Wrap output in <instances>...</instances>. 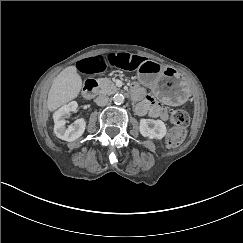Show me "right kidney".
<instances>
[{
    "mask_svg": "<svg viewBox=\"0 0 243 243\" xmlns=\"http://www.w3.org/2000/svg\"><path fill=\"white\" fill-rule=\"evenodd\" d=\"M78 104L76 101H72L67 105L62 106L60 109L55 111L53 114L54 119V133L56 136L62 140L72 142L78 139L84 133L86 123L84 119H77L73 124L65 127V118L70 112H75L77 110Z\"/></svg>",
    "mask_w": 243,
    "mask_h": 243,
    "instance_id": "1",
    "label": "right kidney"
}]
</instances>
